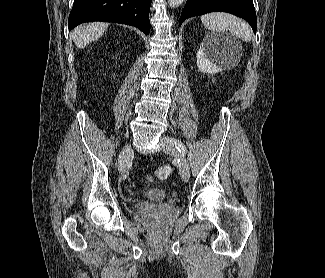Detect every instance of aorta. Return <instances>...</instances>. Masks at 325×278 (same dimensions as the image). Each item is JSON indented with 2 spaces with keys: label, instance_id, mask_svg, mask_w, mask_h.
<instances>
[{
  "label": "aorta",
  "instance_id": "1",
  "mask_svg": "<svg viewBox=\"0 0 325 278\" xmlns=\"http://www.w3.org/2000/svg\"><path fill=\"white\" fill-rule=\"evenodd\" d=\"M184 0H168L170 7H178Z\"/></svg>",
  "mask_w": 325,
  "mask_h": 278
}]
</instances>
